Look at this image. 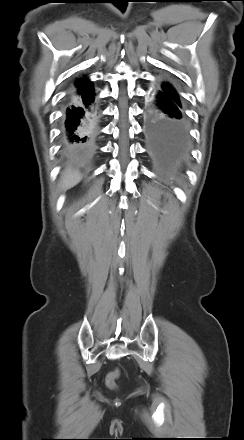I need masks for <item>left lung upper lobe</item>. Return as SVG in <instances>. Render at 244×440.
<instances>
[{
  "mask_svg": "<svg viewBox=\"0 0 244 440\" xmlns=\"http://www.w3.org/2000/svg\"><path fill=\"white\" fill-rule=\"evenodd\" d=\"M161 88H162L163 90H165L167 93H169L171 96L175 97L177 100L180 101L179 96H178L176 90L173 88V86H172L170 83H168V82H164V83L161 85Z\"/></svg>",
  "mask_w": 244,
  "mask_h": 440,
  "instance_id": "left-lung-upper-lobe-1",
  "label": "left lung upper lobe"
}]
</instances>
